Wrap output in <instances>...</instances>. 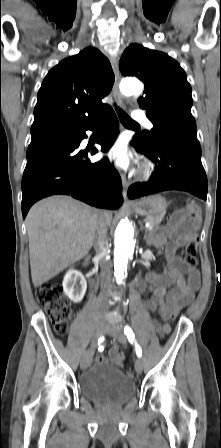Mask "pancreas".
Segmentation results:
<instances>
[{
  "label": "pancreas",
  "instance_id": "cf45deb5",
  "mask_svg": "<svg viewBox=\"0 0 221 448\" xmlns=\"http://www.w3.org/2000/svg\"><path fill=\"white\" fill-rule=\"evenodd\" d=\"M165 214L159 215V216H155V217H146L144 219V222L146 223H150V225L152 226V228L158 226L161 221L163 220Z\"/></svg>",
  "mask_w": 221,
  "mask_h": 448
}]
</instances>
